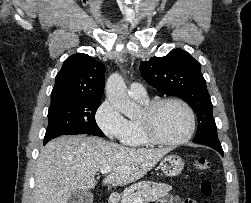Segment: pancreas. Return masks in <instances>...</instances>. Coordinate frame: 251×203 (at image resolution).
Returning a JSON list of instances; mask_svg holds the SVG:
<instances>
[{
    "label": "pancreas",
    "mask_w": 251,
    "mask_h": 203,
    "mask_svg": "<svg viewBox=\"0 0 251 203\" xmlns=\"http://www.w3.org/2000/svg\"><path fill=\"white\" fill-rule=\"evenodd\" d=\"M171 189V186L164 183L141 181L125 190L121 196V203H134L137 199H142L145 203L157 201L166 196Z\"/></svg>",
    "instance_id": "obj_1"
}]
</instances>
